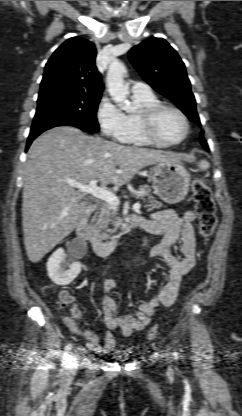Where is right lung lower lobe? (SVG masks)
<instances>
[{"label":"right lung lower lobe","instance_id":"1","mask_svg":"<svg viewBox=\"0 0 242 416\" xmlns=\"http://www.w3.org/2000/svg\"><path fill=\"white\" fill-rule=\"evenodd\" d=\"M57 126H74V127L80 128L83 131H86L81 123H77V122H74V121H71V120L61 121V122H58V123H55V124H48V125H44L42 127H37V128L31 129L30 135H29L28 140H27L26 151L28 150L32 141L39 134H41L42 132H44V131H46L50 128L57 127Z\"/></svg>","mask_w":242,"mask_h":416}]
</instances>
